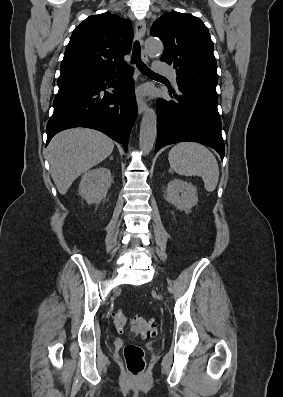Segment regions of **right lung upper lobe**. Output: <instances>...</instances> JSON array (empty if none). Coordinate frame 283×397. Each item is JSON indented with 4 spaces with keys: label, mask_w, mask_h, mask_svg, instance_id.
I'll list each match as a JSON object with an SVG mask.
<instances>
[{
    "label": "right lung upper lobe",
    "mask_w": 283,
    "mask_h": 397,
    "mask_svg": "<svg viewBox=\"0 0 283 397\" xmlns=\"http://www.w3.org/2000/svg\"><path fill=\"white\" fill-rule=\"evenodd\" d=\"M131 22L105 12L89 16L72 33L60 67L58 85L93 79L127 68L131 50Z\"/></svg>",
    "instance_id": "1"
}]
</instances>
